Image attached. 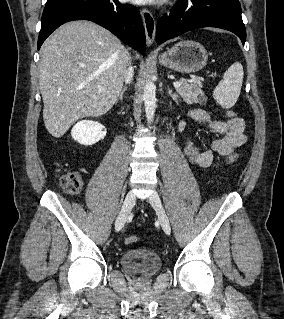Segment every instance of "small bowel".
Segmentation results:
<instances>
[{"label":"small bowel","mask_w":284,"mask_h":319,"mask_svg":"<svg viewBox=\"0 0 284 319\" xmlns=\"http://www.w3.org/2000/svg\"><path fill=\"white\" fill-rule=\"evenodd\" d=\"M188 117L195 122L206 125L214 134L218 135L212 142L210 149H203L192 139H186L183 152L188 162L197 169L210 167L215 155L228 156L246 142L245 121L240 117L227 120L213 119L207 111L201 108L190 110ZM186 128V122L179 121L177 124L178 132H183Z\"/></svg>","instance_id":"c3829d8e"}]
</instances>
